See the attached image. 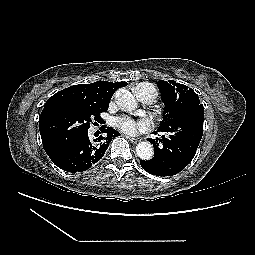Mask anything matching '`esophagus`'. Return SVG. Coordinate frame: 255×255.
Listing matches in <instances>:
<instances>
[{
	"instance_id": "esophagus-1",
	"label": "esophagus",
	"mask_w": 255,
	"mask_h": 255,
	"mask_svg": "<svg viewBox=\"0 0 255 255\" xmlns=\"http://www.w3.org/2000/svg\"><path fill=\"white\" fill-rule=\"evenodd\" d=\"M126 138H128L132 143H137V142H139V138H136V137H131V136H127V135H126Z\"/></svg>"
}]
</instances>
